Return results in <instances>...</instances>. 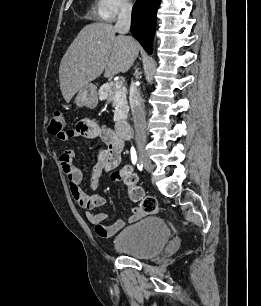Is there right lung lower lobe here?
<instances>
[{"mask_svg":"<svg viewBox=\"0 0 261 306\" xmlns=\"http://www.w3.org/2000/svg\"><path fill=\"white\" fill-rule=\"evenodd\" d=\"M160 0H137L132 9L131 32L143 48L152 52L156 13Z\"/></svg>","mask_w":261,"mask_h":306,"instance_id":"obj_1","label":"right lung lower lobe"}]
</instances>
